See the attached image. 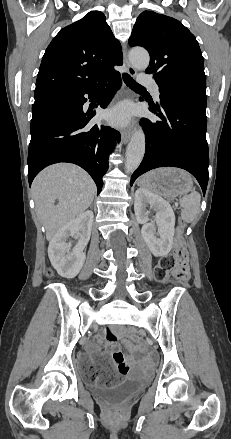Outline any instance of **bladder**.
Segmentation results:
<instances>
[{"label":"bladder","mask_w":231,"mask_h":439,"mask_svg":"<svg viewBox=\"0 0 231 439\" xmlns=\"http://www.w3.org/2000/svg\"><path fill=\"white\" fill-rule=\"evenodd\" d=\"M76 370L83 379H88L95 374L98 367L94 360L81 356L76 362ZM148 383L146 378H131L110 386H92L95 397L104 400H122L140 392Z\"/></svg>","instance_id":"bladder-1"}]
</instances>
